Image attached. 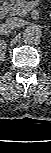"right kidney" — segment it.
I'll list each match as a JSON object with an SVG mask.
<instances>
[{
	"label": "right kidney",
	"instance_id": "obj_1",
	"mask_svg": "<svg viewBox=\"0 0 51 153\" xmlns=\"http://www.w3.org/2000/svg\"><path fill=\"white\" fill-rule=\"evenodd\" d=\"M6 51V46L3 43H0V60H4V55Z\"/></svg>",
	"mask_w": 51,
	"mask_h": 153
}]
</instances>
